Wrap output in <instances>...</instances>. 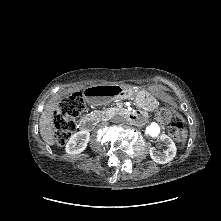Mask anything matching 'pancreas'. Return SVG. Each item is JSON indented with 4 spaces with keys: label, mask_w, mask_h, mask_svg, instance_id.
I'll list each match as a JSON object with an SVG mask.
<instances>
[{
    "label": "pancreas",
    "mask_w": 221,
    "mask_h": 221,
    "mask_svg": "<svg viewBox=\"0 0 221 221\" xmlns=\"http://www.w3.org/2000/svg\"><path fill=\"white\" fill-rule=\"evenodd\" d=\"M113 115V110H105L102 114H99L98 120L101 118L107 119L110 118Z\"/></svg>",
    "instance_id": "pancreas-1"
}]
</instances>
